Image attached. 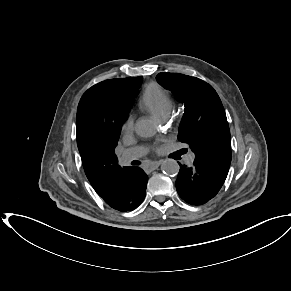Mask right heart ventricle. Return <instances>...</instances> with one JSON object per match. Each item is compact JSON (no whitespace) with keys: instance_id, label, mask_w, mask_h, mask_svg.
<instances>
[{"instance_id":"1","label":"right heart ventricle","mask_w":291,"mask_h":291,"mask_svg":"<svg viewBox=\"0 0 291 291\" xmlns=\"http://www.w3.org/2000/svg\"><path fill=\"white\" fill-rule=\"evenodd\" d=\"M140 106L161 120L170 114L173 101L165 89L159 84L151 82L143 90Z\"/></svg>"}]
</instances>
